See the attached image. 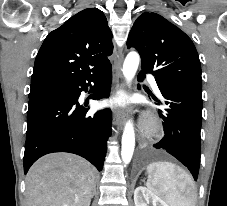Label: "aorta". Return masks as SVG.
<instances>
[{"mask_svg":"<svg viewBox=\"0 0 227 206\" xmlns=\"http://www.w3.org/2000/svg\"><path fill=\"white\" fill-rule=\"evenodd\" d=\"M140 62V56L137 52H130L123 63L122 72L128 84L131 83L137 72ZM135 147V132L132 120H128L125 124L122 135L121 157L125 164H128L133 156Z\"/></svg>","mask_w":227,"mask_h":206,"instance_id":"1","label":"aorta"}]
</instances>
